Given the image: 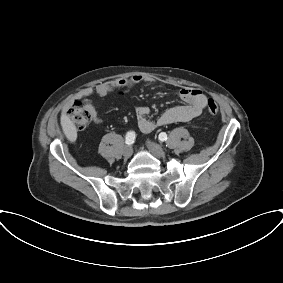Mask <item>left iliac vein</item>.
<instances>
[{
  "instance_id": "obj_1",
  "label": "left iliac vein",
  "mask_w": 283,
  "mask_h": 283,
  "mask_svg": "<svg viewBox=\"0 0 283 283\" xmlns=\"http://www.w3.org/2000/svg\"><path fill=\"white\" fill-rule=\"evenodd\" d=\"M146 145L148 146L150 151L156 157H158V158H164L165 157V152H164L163 148L159 144H157V143H155V142H153L151 140H147Z\"/></svg>"
}]
</instances>
